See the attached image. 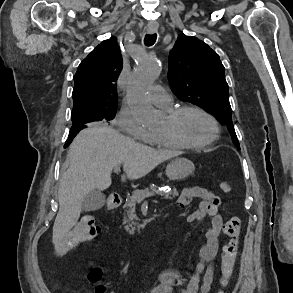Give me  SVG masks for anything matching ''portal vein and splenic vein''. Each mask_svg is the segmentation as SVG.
Wrapping results in <instances>:
<instances>
[{"label":"portal vein and splenic vein","instance_id":"1","mask_svg":"<svg viewBox=\"0 0 293 293\" xmlns=\"http://www.w3.org/2000/svg\"><path fill=\"white\" fill-rule=\"evenodd\" d=\"M120 171V167H115L114 168V172L115 173H118ZM155 193H151V192H149V193H146V194H141V195H139L137 198H138V200L139 201H142V200H144L145 198H147V197H150V196H153Z\"/></svg>","mask_w":293,"mask_h":293}]
</instances>
